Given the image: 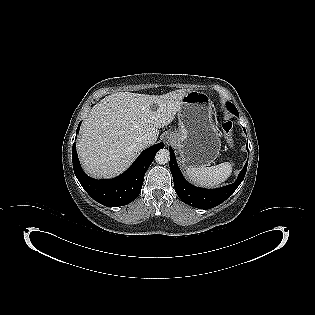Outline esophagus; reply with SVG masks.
<instances>
[{
	"mask_svg": "<svg viewBox=\"0 0 315 315\" xmlns=\"http://www.w3.org/2000/svg\"><path fill=\"white\" fill-rule=\"evenodd\" d=\"M165 142L167 145L171 144L172 139L170 137H165Z\"/></svg>",
	"mask_w": 315,
	"mask_h": 315,
	"instance_id": "1",
	"label": "esophagus"
}]
</instances>
